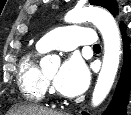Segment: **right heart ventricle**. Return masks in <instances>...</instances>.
Here are the masks:
<instances>
[{
  "mask_svg": "<svg viewBox=\"0 0 131 115\" xmlns=\"http://www.w3.org/2000/svg\"><path fill=\"white\" fill-rule=\"evenodd\" d=\"M44 51L38 46L26 53L19 62L17 71V84L24 99L39 102L45 96V82L37 59Z\"/></svg>",
  "mask_w": 131,
  "mask_h": 115,
  "instance_id": "right-heart-ventricle-1",
  "label": "right heart ventricle"
}]
</instances>
